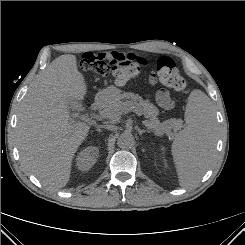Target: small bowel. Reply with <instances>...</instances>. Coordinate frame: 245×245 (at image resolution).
Masks as SVG:
<instances>
[{
  "label": "small bowel",
  "instance_id": "small-bowel-1",
  "mask_svg": "<svg viewBox=\"0 0 245 245\" xmlns=\"http://www.w3.org/2000/svg\"><path fill=\"white\" fill-rule=\"evenodd\" d=\"M105 59L108 60H112V59H118L121 55H123L122 53H118V52H110V53H100ZM133 56H135L137 59H139L142 64H146L147 63V59L144 57H138L134 54H131ZM156 101L157 103L164 109H171L174 106V102L171 99L169 93L166 90H160L157 94H156Z\"/></svg>",
  "mask_w": 245,
  "mask_h": 245
}]
</instances>
